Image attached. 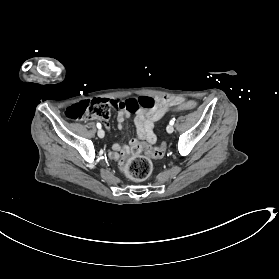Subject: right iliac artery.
<instances>
[{
	"instance_id": "right-iliac-artery-1",
	"label": "right iliac artery",
	"mask_w": 279,
	"mask_h": 279,
	"mask_svg": "<svg viewBox=\"0 0 279 279\" xmlns=\"http://www.w3.org/2000/svg\"><path fill=\"white\" fill-rule=\"evenodd\" d=\"M97 127L100 129V128H101V124H100V123H97Z\"/></svg>"
}]
</instances>
